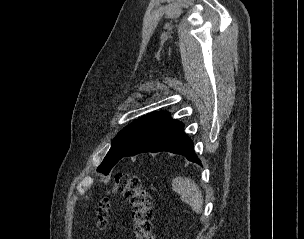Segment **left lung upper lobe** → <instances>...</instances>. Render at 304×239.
Masks as SVG:
<instances>
[{"label":"left lung upper lobe","instance_id":"5c2ea615","mask_svg":"<svg viewBox=\"0 0 304 239\" xmlns=\"http://www.w3.org/2000/svg\"><path fill=\"white\" fill-rule=\"evenodd\" d=\"M173 120L168 112H154L139 118L121 130L97 171L107 175L112 167L136 144Z\"/></svg>","mask_w":304,"mask_h":239}]
</instances>
